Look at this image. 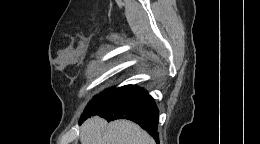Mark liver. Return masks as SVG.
Listing matches in <instances>:
<instances>
[{
	"instance_id": "liver-1",
	"label": "liver",
	"mask_w": 260,
	"mask_h": 144,
	"mask_svg": "<svg viewBox=\"0 0 260 144\" xmlns=\"http://www.w3.org/2000/svg\"><path fill=\"white\" fill-rule=\"evenodd\" d=\"M81 144H155L150 135L128 120L107 123L95 116L81 126Z\"/></svg>"
}]
</instances>
